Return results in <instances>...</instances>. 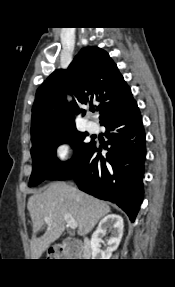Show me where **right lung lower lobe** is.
I'll list each match as a JSON object with an SVG mask.
<instances>
[{
  "label": "right lung lower lobe",
  "mask_w": 175,
  "mask_h": 287,
  "mask_svg": "<svg viewBox=\"0 0 175 287\" xmlns=\"http://www.w3.org/2000/svg\"><path fill=\"white\" fill-rule=\"evenodd\" d=\"M108 153L102 157L94 142L84 160L57 180L75 178L80 190L117 204L133 222L143 200L145 131L133 99L119 111L106 115Z\"/></svg>",
  "instance_id": "obj_1"
}]
</instances>
